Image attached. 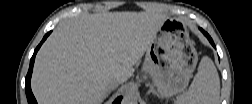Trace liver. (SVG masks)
<instances>
[{
    "label": "liver",
    "mask_w": 252,
    "mask_h": 104,
    "mask_svg": "<svg viewBox=\"0 0 252 104\" xmlns=\"http://www.w3.org/2000/svg\"><path fill=\"white\" fill-rule=\"evenodd\" d=\"M166 16L106 12L61 22L40 48L31 88L41 104H101L134 73Z\"/></svg>",
    "instance_id": "liver-1"
}]
</instances>
